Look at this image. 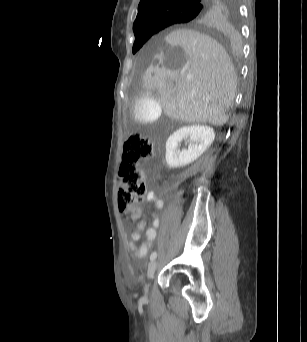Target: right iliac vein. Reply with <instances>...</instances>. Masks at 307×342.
I'll list each match as a JSON object with an SVG mask.
<instances>
[{
  "mask_svg": "<svg viewBox=\"0 0 307 342\" xmlns=\"http://www.w3.org/2000/svg\"><path fill=\"white\" fill-rule=\"evenodd\" d=\"M156 269H157V262L156 261H152L149 266H148V270H147V279L150 280L155 272H156ZM144 291H145V294H148V291H149V286L148 284L146 283L145 284V288H144Z\"/></svg>",
  "mask_w": 307,
  "mask_h": 342,
  "instance_id": "1",
  "label": "right iliac vein"
}]
</instances>
